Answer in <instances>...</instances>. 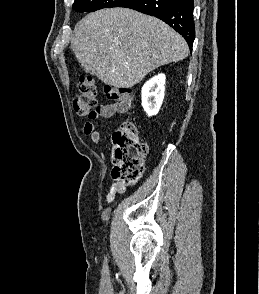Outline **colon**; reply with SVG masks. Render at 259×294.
<instances>
[{
    "mask_svg": "<svg viewBox=\"0 0 259 294\" xmlns=\"http://www.w3.org/2000/svg\"><path fill=\"white\" fill-rule=\"evenodd\" d=\"M79 92L73 99L74 112L80 117H94L97 103V85L91 76H81ZM107 98L130 106L133 92L129 88L105 87ZM148 153V144L131 122H124L113 136L112 178L128 186L135 185L144 171V158Z\"/></svg>",
    "mask_w": 259,
    "mask_h": 294,
    "instance_id": "colon-1",
    "label": "colon"
}]
</instances>
